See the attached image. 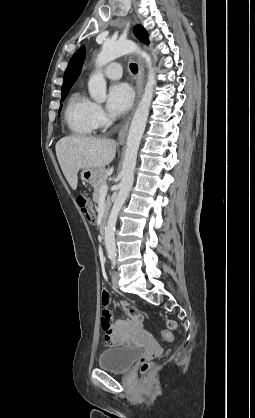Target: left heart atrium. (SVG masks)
Listing matches in <instances>:
<instances>
[{
  "instance_id": "left-heart-atrium-1",
  "label": "left heart atrium",
  "mask_w": 255,
  "mask_h": 418,
  "mask_svg": "<svg viewBox=\"0 0 255 418\" xmlns=\"http://www.w3.org/2000/svg\"><path fill=\"white\" fill-rule=\"evenodd\" d=\"M132 103L133 92L126 83H115L110 87L107 97V108L112 116H121L129 110Z\"/></svg>"
}]
</instances>
